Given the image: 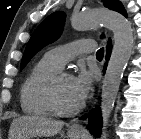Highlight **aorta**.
Masks as SVG:
<instances>
[{
	"label": "aorta",
	"instance_id": "aorta-1",
	"mask_svg": "<svg viewBox=\"0 0 141 139\" xmlns=\"http://www.w3.org/2000/svg\"><path fill=\"white\" fill-rule=\"evenodd\" d=\"M100 24L113 32L114 46L105 73L101 93L102 134L107 139L108 126L121 79L133 47V31L130 22L121 14L107 10H94L71 17V26L85 31Z\"/></svg>",
	"mask_w": 141,
	"mask_h": 139
}]
</instances>
